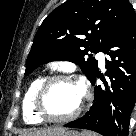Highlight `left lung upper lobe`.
<instances>
[{
	"instance_id": "1",
	"label": "left lung upper lobe",
	"mask_w": 136,
	"mask_h": 136,
	"mask_svg": "<svg viewBox=\"0 0 136 136\" xmlns=\"http://www.w3.org/2000/svg\"><path fill=\"white\" fill-rule=\"evenodd\" d=\"M131 7L128 0H67L38 29L25 75L41 64L62 60L78 64L90 79L98 69L97 61L86 60L85 55L103 51Z\"/></svg>"
}]
</instances>
